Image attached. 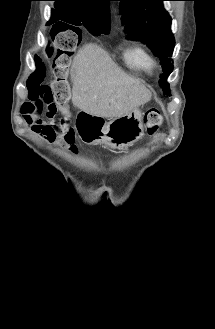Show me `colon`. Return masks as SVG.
Instances as JSON below:
<instances>
[{
  "mask_svg": "<svg viewBox=\"0 0 215 329\" xmlns=\"http://www.w3.org/2000/svg\"><path fill=\"white\" fill-rule=\"evenodd\" d=\"M52 25V31H46V38H51L52 48L43 47L42 53L47 54L51 60V66H46V55H33V68L38 73L31 74V81L26 82L29 88L28 101L22 107V114H43L53 116L61 114L56 122L58 132L65 137L69 143L74 141V130L71 126V114L66 104L69 95L67 82V71L71 57L75 49H81L83 44L81 25ZM144 128L148 134H155L162 124V115L156 108L149 109L143 119Z\"/></svg>",
  "mask_w": 215,
  "mask_h": 329,
  "instance_id": "1",
  "label": "colon"
}]
</instances>
